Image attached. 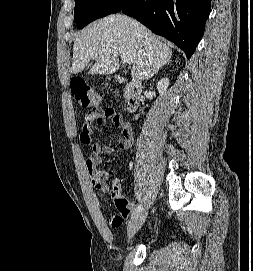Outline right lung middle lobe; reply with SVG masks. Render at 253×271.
Wrapping results in <instances>:
<instances>
[{
  "label": "right lung middle lobe",
  "mask_w": 253,
  "mask_h": 271,
  "mask_svg": "<svg viewBox=\"0 0 253 271\" xmlns=\"http://www.w3.org/2000/svg\"><path fill=\"white\" fill-rule=\"evenodd\" d=\"M127 0H75L74 19L79 29L90 22L117 13Z\"/></svg>",
  "instance_id": "dd1d6c3e"
}]
</instances>
